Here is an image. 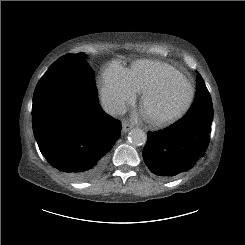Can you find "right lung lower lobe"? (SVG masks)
<instances>
[{
  "instance_id": "98d812e1",
  "label": "right lung lower lobe",
  "mask_w": 245,
  "mask_h": 245,
  "mask_svg": "<svg viewBox=\"0 0 245 245\" xmlns=\"http://www.w3.org/2000/svg\"><path fill=\"white\" fill-rule=\"evenodd\" d=\"M33 131L46 160L68 178L83 182L98 177L108 152L120 136V121L98 102L68 104L33 118Z\"/></svg>"
}]
</instances>
